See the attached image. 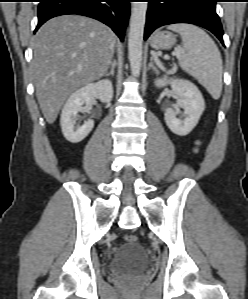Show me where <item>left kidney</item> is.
<instances>
[{"label":"left kidney","instance_id":"1","mask_svg":"<svg viewBox=\"0 0 248 299\" xmlns=\"http://www.w3.org/2000/svg\"><path fill=\"white\" fill-rule=\"evenodd\" d=\"M168 84L177 95L178 100L174 108H167L165 111L166 125L174 134L186 136L197 125L205 109L203 96L197 86L188 80L161 78L155 81L158 88ZM178 108L184 110L179 118L177 117Z\"/></svg>","mask_w":248,"mask_h":299}]
</instances>
